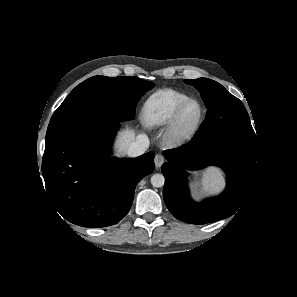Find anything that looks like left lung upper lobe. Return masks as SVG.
Wrapping results in <instances>:
<instances>
[{
  "label": "left lung upper lobe",
  "mask_w": 297,
  "mask_h": 297,
  "mask_svg": "<svg viewBox=\"0 0 297 297\" xmlns=\"http://www.w3.org/2000/svg\"><path fill=\"white\" fill-rule=\"evenodd\" d=\"M185 82L200 92L207 107L206 118L194 135L195 138L233 134L256 142L249 115L238 98L231 95L221 84L208 78Z\"/></svg>",
  "instance_id": "1"
}]
</instances>
